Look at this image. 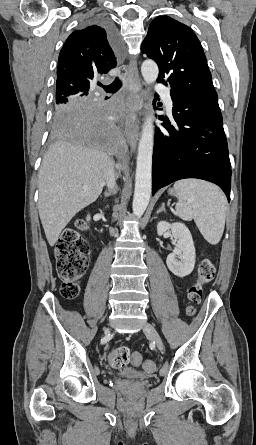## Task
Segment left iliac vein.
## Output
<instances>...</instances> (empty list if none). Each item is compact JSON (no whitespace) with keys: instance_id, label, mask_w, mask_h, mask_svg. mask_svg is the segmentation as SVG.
Instances as JSON below:
<instances>
[{"instance_id":"4c4485c4","label":"left iliac vein","mask_w":256,"mask_h":445,"mask_svg":"<svg viewBox=\"0 0 256 445\" xmlns=\"http://www.w3.org/2000/svg\"><path fill=\"white\" fill-rule=\"evenodd\" d=\"M144 333L157 345V348L163 352L164 351V344L162 341V338L160 337L159 333L155 329V327L150 323H145L143 327Z\"/></svg>"}]
</instances>
